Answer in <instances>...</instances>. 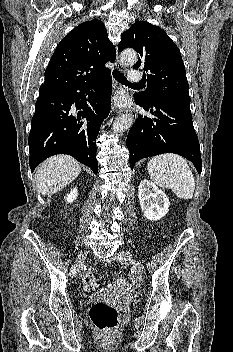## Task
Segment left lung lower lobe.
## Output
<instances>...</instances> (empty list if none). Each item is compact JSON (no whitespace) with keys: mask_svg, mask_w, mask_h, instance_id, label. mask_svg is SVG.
Masks as SVG:
<instances>
[{"mask_svg":"<svg viewBox=\"0 0 233 352\" xmlns=\"http://www.w3.org/2000/svg\"><path fill=\"white\" fill-rule=\"evenodd\" d=\"M135 101L152 116H138L128 133L126 142L131 169L142 158L175 153L191 161L201 173L200 145L192 114L161 101Z\"/></svg>","mask_w":233,"mask_h":352,"instance_id":"left-lung-lower-lobe-1","label":"left lung lower lobe"}]
</instances>
